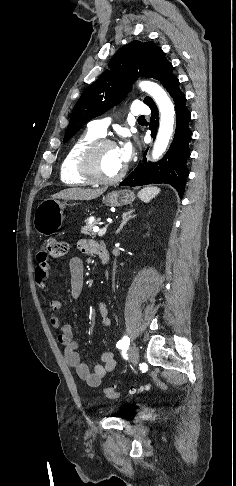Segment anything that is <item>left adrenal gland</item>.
<instances>
[{
  "instance_id": "a2214340",
  "label": "left adrenal gland",
  "mask_w": 236,
  "mask_h": 486,
  "mask_svg": "<svg viewBox=\"0 0 236 486\" xmlns=\"http://www.w3.org/2000/svg\"><path fill=\"white\" fill-rule=\"evenodd\" d=\"M133 212H135V210H134V209H132V210H130V211H128V212L123 213V215H122V222H121V224H120L119 228L117 229L116 234L120 233V231L123 229V227L126 225V223H127V222H128L130 219H132L133 217H135V216H136L135 214H134V215H132V214H133Z\"/></svg>"
}]
</instances>
